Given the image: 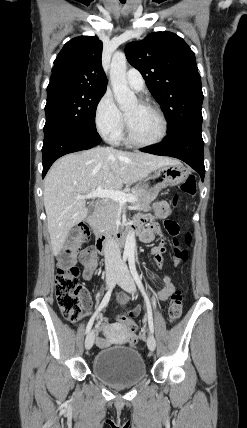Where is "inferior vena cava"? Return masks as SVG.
<instances>
[{"mask_svg": "<svg viewBox=\"0 0 247 428\" xmlns=\"http://www.w3.org/2000/svg\"><path fill=\"white\" fill-rule=\"evenodd\" d=\"M104 256L106 269L121 266V251L118 243L112 237H108L105 241Z\"/></svg>", "mask_w": 247, "mask_h": 428, "instance_id": "602c4592", "label": "inferior vena cava"}]
</instances>
